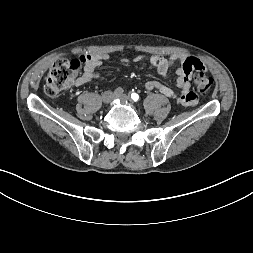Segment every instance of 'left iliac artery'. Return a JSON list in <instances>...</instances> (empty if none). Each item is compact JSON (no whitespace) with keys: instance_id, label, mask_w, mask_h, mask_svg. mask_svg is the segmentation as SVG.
<instances>
[{"instance_id":"obj_1","label":"left iliac artery","mask_w":253,"mask_h":253,"mask_svg":"<svg viewBox=\"0 0 253 253\" xmlns=\"http://www.w3.org/2000/svg\"><path fill=\"white\" fill-rule=\"evenodd\" d=\"M131 98H132L133 101H138L139 100V95L136 94V93H132Z\"/></svg>"}]
</instances>
